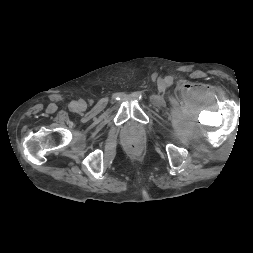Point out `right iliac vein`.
<instances>
[{"instance_id":"obj_1","label":"right iliac vein","mask_w":253,"mask_h":253,"mask_svg":"<svg viewBox=\"0 0 253 253\" xmlns=\"http://www.w3.org/2000/svg\"><path fill=\"white\" fill-rule=\"evenodd\" d=\"M79 108H80V109H84V108H85V104H84V103H80V104H79Z\"/></svg>"}]
</instances>
